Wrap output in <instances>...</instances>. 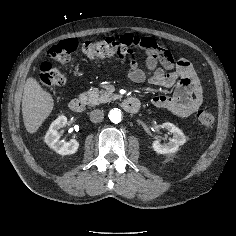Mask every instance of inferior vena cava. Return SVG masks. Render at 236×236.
<instances>
[{"label": "inferior vena cava", "instance_id": "1", "mask_svg": "<svg viewBox=\"0 0 236 236\" xmlns=\"http://www.w3.org/2000/svg\"><path fill=\"white\" fill-rule=\"evenodd\" d=\"M104 119V113L103 111L99 109H95L90 112V120L93 123L101 122Z\"/></svg>", "mask_w": 236, "mask_h": 236}]
</instances>
